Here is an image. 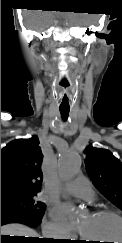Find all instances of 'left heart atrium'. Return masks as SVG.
<instances>
[{
  "instance_id": "left-heart-atrium-1",
  "label": "left heart atrium",
  "mask_w": 122,
  "mask_h": 243,
  "mask_svg": "<svg viewBox=\"0 0 122 243\" xmlns=\"http://www.w3.org/2000/svg\"><path fill=\"white\" fill-rule=\"evenodd\" d=\"M54 215L68 226H74L70 208L67 205H60L54 210ZM80 228V227H79Z\"/></svg>"
}]
</instances>
